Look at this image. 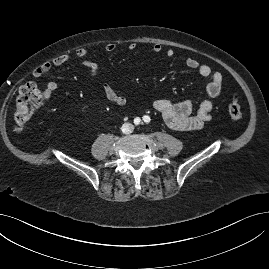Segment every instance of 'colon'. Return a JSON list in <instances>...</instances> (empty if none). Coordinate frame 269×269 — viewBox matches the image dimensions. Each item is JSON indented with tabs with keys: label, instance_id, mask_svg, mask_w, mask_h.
I'll use <instances>...</instances> for the list:
<instances>
[{
	"label": "colon",
	"instance_id": "obj_1",
	"mask_svg": "<svg viewBox=\"0 0 269 269\" xmlns=\"http://www.w3.org/2000/svg\"><path fill=\"white\" fill-rule=\"evenodd\" d=\"M44 102L42 90L34 82L22 84L15 98L12 118L15 129L22 130L31 120L33 113ZM228 112L232 120L239 121L242 117V109L238 102L236 92H231Z\"/></svg>",
	"mask_w": 269,
	"mask_h": 269
}]
</instances>
